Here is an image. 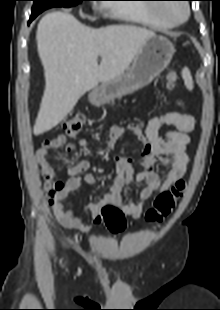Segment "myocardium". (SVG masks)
<instances>
[{
  "instance_id": "myocardium-1",
  "label": "myocardium",
  "mask_w": 220,
  "mask_h": 310,
  "mask_svg": "<svg viewBox=\"0 0 220 310\" xmlns=\"http://www.w3.org/2000/svg\"><path fill=\"white\" fill-rule=\"evenodd\" d=\"M180 6L183 7V10H184V14L181 18L179 19H172L166 15H164L162 13V8L163 7H155L154 8V14L156 17H158L159 19L171 24L172 26H175V25H180L182 23H184L188 17H189V14H190V11H189V6L187 4H179Z\"/></svg>"
}]
</instances>
